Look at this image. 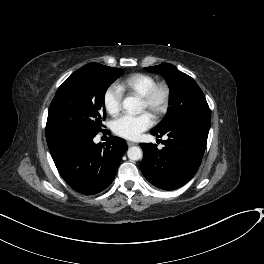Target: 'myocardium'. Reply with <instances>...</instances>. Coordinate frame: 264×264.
Segmentation results:
<instances>
[{"instance_id": "1", "label": "myocardium", "mask_w": 264, "mask_h": 264, "mask_svg": "<svg viewBox=\"0 0 264 264\" xmlns=\"http://www.w3.org/2000/svg\"><path fill=\"white\" fill-rule=\"evenodd\" d=\"M141 98L151 115L154 118L159 119L166 114L169 108L171 101V88L166 82H157Z\"/></svg>"}]
</instances>
